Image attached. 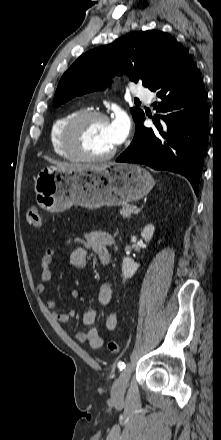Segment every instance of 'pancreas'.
<instances>
[{"label": "pancreas", "instance_id": "1", "mask_svg": "<svg viewBox=\"0 0 221 440\" xmlns=\"http://www.w3.org/2000/svg\"><path fill=\"white\" fill-rule=\"evenodd\" d=\"M135 209L134 205H123L122 209L120 210V214L124 217V218H130L133 211Z\"/></svg>", "mask_w": 221, "mask_h": 440}]
</instances>
